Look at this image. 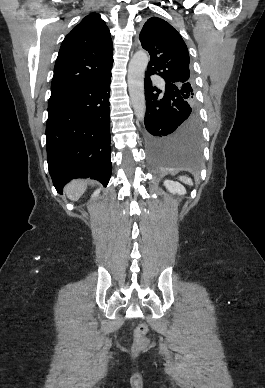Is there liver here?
<instances>
[{
	"instance_id": "1",
	"label": "liver",
	"mask_w": 265,
	"mask_h": 388,
	"mask_svg": "<svg viewBox=\"0 0 265 388\" xmlns=\"http://www.w3.org/2000/svg\"><path fill=\"white\" fill-rule=\"evenodd\" d=\"M87 184L83 180H72L64 188V192L69 200H79L80 196H83L86 192Z\"/></svg>"
}]
</instances>
